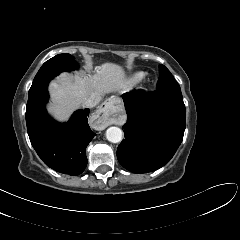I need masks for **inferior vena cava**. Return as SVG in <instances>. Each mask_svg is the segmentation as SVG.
<instances>
[{"label":"inferior vena cava","instance_id":"obj_1","mask_svg":"<svg viewBox=\"0 0 240 240\" xmlns=\"http://www.w3.org/2000/svg\"><path fill=\"white\" fill-rule=\"evenodd\" d=\"M99 98L97 97H90L88 99H86L85 101H83L82 106L85 108H93L96 106V104L99 102Z\"/></svg>","mask_w":240,"mask_h":240}]
</instances>
